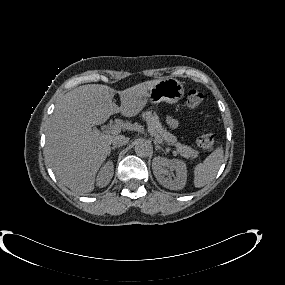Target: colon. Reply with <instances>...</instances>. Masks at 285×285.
Instances as JSON below:
<instances>
[{"label":"colon","instance_id":"1","mask_svg":"<svg viewBox=\"0 0 285 285\" xmlns=\"http://www.w3.org/2000/svg\"><path fill=\"white\" fill-rule=\"evenodd\" d=\"M203 101L204 95L200 91L193 89L188 92L187 106L190 109L199 108L203 104ZM197 142L201 148L207 151L213 150L215 147V138L208 130H205L199 134Z\"/></svg>","mask_w":285,"mask_h":285}]
</instances>
